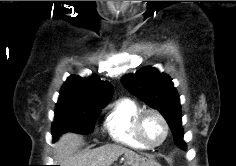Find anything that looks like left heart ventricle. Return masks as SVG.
Returning <instances> with one entry per match:
<instances>
[{
  "label": "left heart ventricle",
  "mask_w": 236,
  "mask_h": 166,
  "mask_svg": "<svg viewBox=\"0 0 236 166\" xmlns=\"http://www.w3.org/2000/svg\"><path fill=\"white\" fill-rule=\"evenodd\" d=\"M142 134L148 143H158L164 135L161 121L153 114H148L142 123Z\"/></svg>",
  "instance_id": "obj_1"
}]
</instances>
